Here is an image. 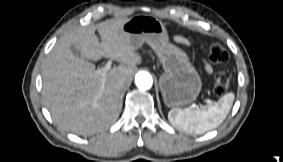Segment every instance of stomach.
I'll return each mask as SVG.
<instances>
[{
  "instance_id": "obj_1",
  "label": "stomach",
  "mask_w": 283,
  "mask_h": 162,
  "mask_svg": "<svg viewBox=\"0 0 283 162\" xmlns=\"http://www.w3.org/2000/svg\"><path fill=\"white\" fill-rule=\"evenodd\" d=\"M121 31L129 36L135 48L146 42L159 57L164 69L159 87L166 106H184L197 99L201 78L187 53L169 42L166 27L159 19L136 15L123 23Z\"/></svg>"
}]
</instances>
